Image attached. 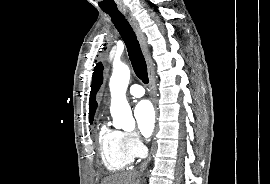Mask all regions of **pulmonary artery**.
<instances>
[{
	"mask_svg": "<svg viewBox=\"0 0 270 184\" xmlns=\"http://www.w3.org/2000/svg\"><path fill=\"white\" fill-rule=\"evenodd\" d=\"M129 94L132 96V97H136V98H139V97H142L144 95V89L142 86L138 85V84H135V85H132L130 88H129Z\"/></svg>",
	"mask_w": 270,
	"mask_h": 184,
	"instance_id": "e3ab8cb5",
	"label": "pulmonary artery"
}]
</instances>
